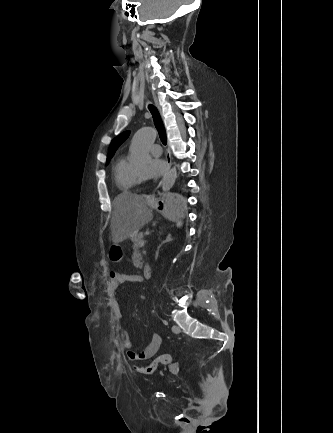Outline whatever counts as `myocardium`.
I'll return each instance as SVG.
<instances>
[{"label": "myocardium", "mask_w": 333, "mask_h": 433, "mask_svg": "<svg viewBox=\"0 0 333 433\" xmlns=\"http://www.w3.org/2000/svg\"><path fill=\"white\" fill-rule=\"evenodd\" d=\"M134 174L137 182H141L143 180L142 174L139 173L136 169L134 171Z\"/></svg>", "instance_id": "obj_1"}]
</instances>
